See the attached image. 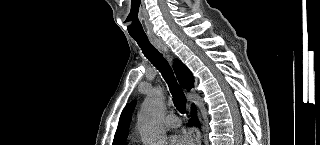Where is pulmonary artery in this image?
Returning a JSON list of instances; mask_svg holds the SVG:
<instances>
[{"instance_id":"e3ab8cb5","label":"pulmonary artery","mask_w":320,"mask_h":145,"mask_svg":"<svg viewBox=\"0 0 320 145\" xmlns=\"http://www.w3.org/2000/svg\"><path fill=\"white\" fill-rule=\"evenodd\" d=\"M165 125L169 128H177L181 125V120L175 114H169L165 118Z\"/></svg>"}]
</instances>
